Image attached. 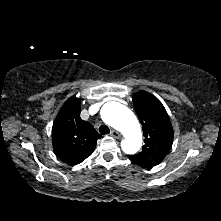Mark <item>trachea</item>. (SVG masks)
<instances>
[{"instance_id":"1","label":"trachea","mask_w":221,"mask_h":221,"mask_svg":"<svg viewBox=\"0 0 221 221\" xmlns=\"http://www.w3.org/2000/svg\"><path fill=\"white\" fill-rule=\"evenodd\" d=\"M99 132H100L102 135L109 134V133H110V129H109L108 126H106V125H101V126L99 127Z\"/></svg>"}]
</instances>
